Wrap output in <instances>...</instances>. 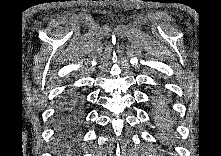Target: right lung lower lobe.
<instances>
[{"label":"right lung lower lobe","instance_id":"1","mask_svg":"<svg viewBox=\"0 0 221 156\" xmlns=\"http://www.w3.org/2000/svg\"><path fill=\"white\" fill-rule=\"evenodd\" d=\"M84 105L83 97L78 90L66 92L59 102L55 116L57 127L63 132L75 131L80 126Z\"/></svg>","mask_w":221,"mask_h":156}]
</instances>
